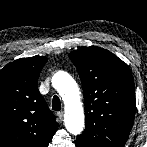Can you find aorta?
<instances>
[{
  "label": "aorta",
  "instance_id": "1",
  "mask_svg": "<svg viewBox=\"0 0 147 147\" xmlns=\"http://www.w3.org/2000/svg\"><path fill=\"white\" fill-rule=\"evenodd\" d=\"M52 85L64 101L67 131L74 135L80 134L84 128V111L76 81L67 72L58 71L52 77Z\"/></svg>",
  "mask_w": 147,
  "mask_h": 147
}]
</instances>
